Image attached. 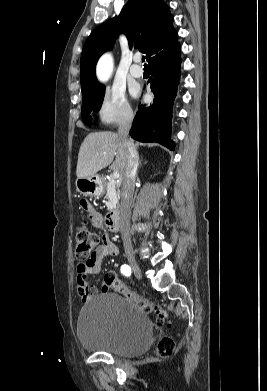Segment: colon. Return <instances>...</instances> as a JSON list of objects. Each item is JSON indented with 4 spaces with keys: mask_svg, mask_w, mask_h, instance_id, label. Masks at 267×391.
Returning a JSON list of instances; mask_svg holds the SVG:
<instances>
[{
    "mask_svg": "<svg viewBox=\"0 0 267 391\" xmlns=\"http://www.w3.org/2000/svg\"><path fill=\"white\" fill-rule=\"evenodd\" d=\"M100 244L99 236L91 231L85 224L79 227L75 236L76 257L80 262L90 259ZM107 282L111 289L123 295L125 298L135 302L142 310L148 313H155L159 322H165L168 318L166 311L157 304L141 298L135 292L128 290L125 284L113 272L107 273ZM158 353L161 356H170L175 350V343L170 337L160 340Z\"/></svg>",
    "mask_w": 267,
    "mask_h": 391,
    "instance_id": "1",
    "label": "colon"
}]
</instances>
